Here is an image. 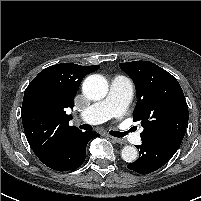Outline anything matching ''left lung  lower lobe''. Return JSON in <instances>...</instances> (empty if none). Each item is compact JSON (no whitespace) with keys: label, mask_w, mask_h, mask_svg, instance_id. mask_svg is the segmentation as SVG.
<instances>
[{"label":"left lung lower lobe","mask_w":201,"mask_h":201,"mask_svg":"<svg viewBox=\"0 0 201 201\" xmlns=\"http://www.w3.org/2000/svg\"><path fill=\"white\" fill-rule=\"evenodd\" d=\"M183 138L174 136L142 140L140 157L127 165L130 170L139 174H148L165 165L178 150Z\"/></svg>","instance_id":"1"}]
</instances>
